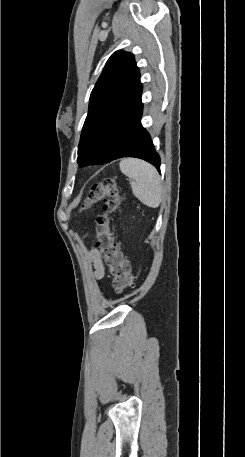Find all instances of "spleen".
I'll return each instance as SVG.
<instances>
[{"label":"spleen","mask_w":245,"mask_h":457,"mask_svg":"<svg viewBox=\"0 0 245 457\" xmlns=\"http://www.w3.org/2000/svg\"><path fill=\"white\" fill-rule=\"evenodd\" d=\"M119 168L131 178L132 190L147 206L156 208L162 200V186L159 172L155 166L141 158H122Z\"/></svg>","instance_id":"3e777b00"}]
</instances>
